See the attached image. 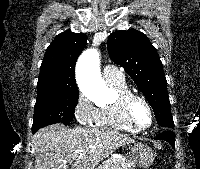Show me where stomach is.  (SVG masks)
<instances>
[{
    "label": "stomach",
    "instance_id": "stomach-1",
    "mask_svg": "<svg viewBox=\"0 0 200 169\" xmlns=\"http://www.w3.org/2000/svg\"><path fill=\"white\" fill-rule=\"evenodd\" d=\"M130 161L141 168L150 166L155 158L154 152L147 145L135 143L130 146Z\"/></svg>",
    "mask_w": 200,
    "mask_h": 169
}]
</instances>
